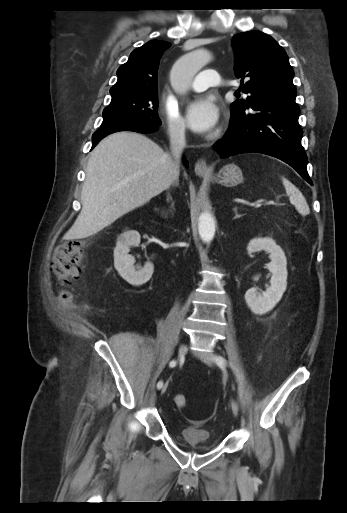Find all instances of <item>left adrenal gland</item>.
<instances>
[{
    "instance_id": "obj_1",
    "label": "left adrenal gland",
    "mask_w": 347,
    "mask_h": 513,
    "mask_svg": "<svg viewBox=\"0 0 347 513\" xmlns=\"http://www.w3.org/2000/svg\"><path fill=\"white\" fill-rule=\"evenodd\" d=\"M233 212L235 214V216L233 218L234 220L241 217V215L238 213V207L237 206L235 208H233Z\"/></svg>"
}]
</instances>
